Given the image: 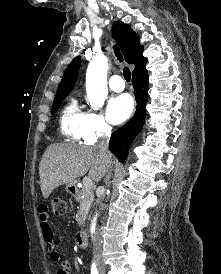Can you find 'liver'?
Here are the masks:
<instances>
[{
    "label": "liver",
    "instance_id": "liver-1",
    "mask_svg": "<svg viewBox=\"0 0 221 274\" xmlns=\"http://www.w3.org/2000/svg\"><path fill=\"white\" fill-rule=\"evenodd\" d=\"M107 160L97 147L76 144H51L44 152L39 166L42 195L47 199L52 191L63 184H73L85 175L96 182L108 170Z\"/></svg>",
    "mask_w": 221,
    "mask_h": 274
}]
</instances>
